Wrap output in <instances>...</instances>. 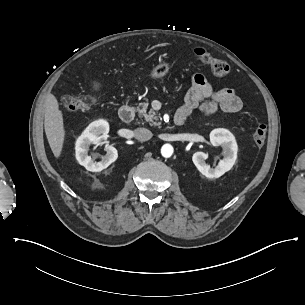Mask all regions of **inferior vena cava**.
Segmentation results:
<instances>
[{
  "label": "inferior vena cava",
  "mask_w": 305,
  "mask_h": 305,
  "mask_svg": "<svg viewBox=\"0 0 305 305\" xmlns=\"http://www.w3.org/2000/svg\"><path fill=\"white\" fill-rule=\"evenodd\" d=\"M133 134L135 139H137L138 141H147L152 137V132L143 127L136 128L133 131Z\"/></svg>",
  "instance_id": "602c4592"
}]
</instances>
